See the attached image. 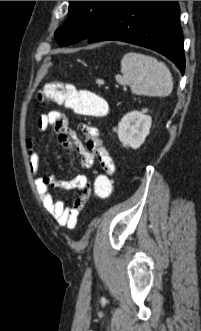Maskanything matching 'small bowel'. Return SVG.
<instances>
[{"instance_id":"1","label":"small bowel","mask_w":201,"mask_h":331,"mask_svg":"<svg viewBox=\"0 0 201 331\" xmlns=\"http://www.w3.org/2000/svg\"><path fill=\"white\" fill-rule=\"evenodd\" d=\"M54 126L60 143L74 150L80 156V165L83 169L92 167L95 160L98 161L102 172L112 176L115 171L114 162L104 147L97 127L90 124H82L81 131L84 135V143L79 139L77 132L72 129L65 115L57 110L42 114L37 121L40 132ZM28 160L34 183L40 199L46 211L56 220L60 226L69 229L77 225L81 210L90 198L89 180L85 175H77L73 179L65 181L54 175H42L40 172V156L34 145V139L27 140ZM77 189L80 194L68 207L63 201L55 200L51 189Z\"/></svg>"}]
</instances>
